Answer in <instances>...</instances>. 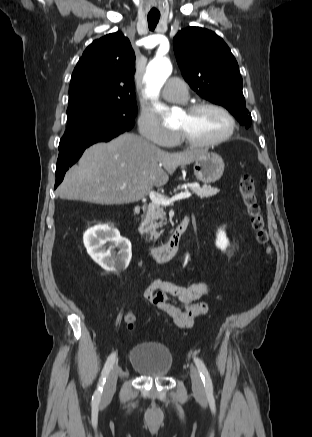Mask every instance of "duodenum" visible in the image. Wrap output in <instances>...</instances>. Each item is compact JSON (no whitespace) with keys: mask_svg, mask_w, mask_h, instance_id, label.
Segmentation results:
<instances>
[{"mask_svg":"<svg viewBox=\"0 0 312 437\" xmlns=\"http://www.w3.org/2000/svg\"><path fill=\"white\" fill-rule=\"evenodd\" d=\"M140 211V207L136 206L133 209L132 216H136ZM190 223L188 216L184 217L176 226L174 232L172 233L170 239L167 243L162 245H144L148 255L155 262L163 263L169 261L177 252L182 238L187 230Z\"/></svg>","mask_w":312,"mask_h":437,"instance_id":"duodenum-1","label":"duodenum"}]
</instances>
